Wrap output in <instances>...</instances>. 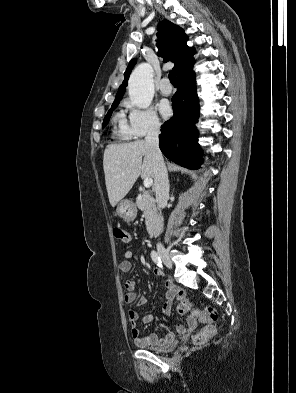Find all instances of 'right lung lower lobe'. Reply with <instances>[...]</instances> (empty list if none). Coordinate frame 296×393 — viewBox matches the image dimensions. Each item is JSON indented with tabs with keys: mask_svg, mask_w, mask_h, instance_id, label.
Instances as JSON below:
<instances>
[{
	"mask_svg": "<svg viewBox=\"0 0 296 393\" xmlns=\"http://www.w3.org/2000/svg\"><path fill=\"white\" fill-rule=\"evenodd\" d=\"M194 61L178 74L179 87L172 98L174 116L161 127L159 146L163 154L175 163L198 169L201 153L195 123L199 117Z\"/></svg>",
	"mask_w": 296,
	"mask_h": 393,
	"instance_id": "right-lung-lower-lobe-1",
	"label": "right lung lower lobe"
}]
</instances>
